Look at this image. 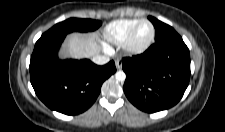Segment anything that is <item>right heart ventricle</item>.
<instances>
[{"label": "right heart ventricle", "mask_w": 225, "mask_h": 132, "mask_svg": "<svg viewBox=\"0 0 225 132\" xmlns=\"http://www.w3.org/2000/svg\"><path fill=\"white\" fill-rule=\"evenodd\" d=\"M137 19H118L107 24L102 30V38L108 44L120 45Z\"/></svg>", "instance_id": "e07e8e85"}]
</instances>
